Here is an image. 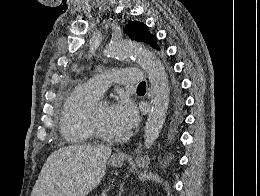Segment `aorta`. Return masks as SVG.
Listing matches in <instances>:
<instances>
[{
    "label": "aorta",
    "mask_w": 260,
    "mask_h": 196,
    "mask_svg": "<svg viewBox=\"0 0 260 196\" xmlns=\"http://www.w3.org/2000/svg\"><path fill=\"white\" fill-rule=\"evenodd\" d=\"M105 54L108 57L135 58L148 75L152 90V105L144 130V144L146 149L154 144L159 136L168 110V78L163 65L157 56L142 44L132 41L111 43ZM147 163L145 157L136 159L139 168Z\"/></svg>",
    "instance_id": "1"
}]
</instances>
